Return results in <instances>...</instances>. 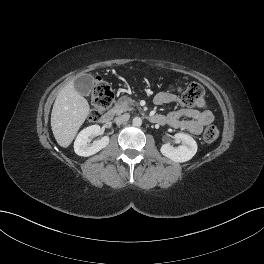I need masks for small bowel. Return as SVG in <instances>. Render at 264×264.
I'll use <instances>...</instances> for the list:
<instances>
[{
    "mask_svg": "<svg viewBox=\"0 0 264 264\" xmlns=\"http://www.w3.org/2000/svg\"><path fill=\"white\" fill-rule=\"evenodd\" d=\"M154 103L163 106L171 103L180 104L179 110L172 111L167 115H159L162 121L159 124L172 128L181 129L194 135L201 134L203 128L211 124L214 115L210 110H196L181 104L180 99L168 92H160L154 98Z\"/></svg>",
    "mask_w": 264,
    "mask_h": 264,
    "instance_id": "small-bowel-1",
    "label": "small bowel"
}]
</instances>
